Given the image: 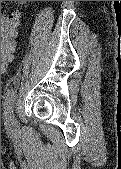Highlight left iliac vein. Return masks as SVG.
I'll return each instance as SVG.
<instances>
[{"instance_id":"left-iliac-vein-1","label":"left iliac vein","mask_w":121,"mask_h":169,"mask_svg":"<svg viewBox=\"0 0 121 169\" xmlns=\"http://www.w3.org/2000/svg\"><path fill=\"white\" fill-rule=\"evenodd\" d=\"M12 124H15V121H14V120L12 121Z\"/></svg>"}]
</instances>
